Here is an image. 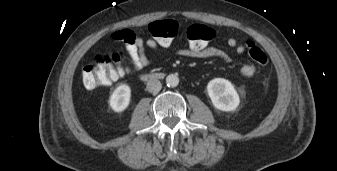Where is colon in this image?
I'll return each instance as SVG.
<instances>
[{"label":"colon","mask_w":337,"mask_h":171,"mask_svg":"<svg viewBox=\"0 0 337 171\" xmlns=\"http://www.w3.org/2000/svg\"><path fill=\"white\" fill-rule=\"evenodd\" d=\"M149 33L162 48H171L176 38L188 42L189 48L194 52L201 51L210 42L215 32L203 24H191L180 27L177 21L172 19L157 20L149 24ZM246 50L249 56L259 65L266 66L268 57L264 50L254 41H247ZM125 70L122 54L94 55L92 61L83 68L82 83L86 89H95L108 86L123 74Z\"/></svg>","instance_id":"colon-1"}]
</instances>
